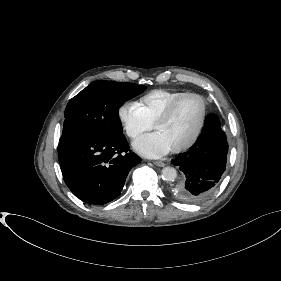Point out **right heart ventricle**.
Instances as JSON below:
<instances>
[{"mask_svg":"<svg viewBox=\"0 0 281 281\" xmlns=\"http://www.w3.org/2000/svg\"><path fill=\"white\" fill-rule=\"evenodd\" d=\"M186 92L167 89H155L142 95L138 104L147 119L153 123L157 115L175 98Z\"/></svg>","mask_w":281,"mask_h":281,"instance_id":"obj_1","label":"right heart ventricle"}]
</instances>
